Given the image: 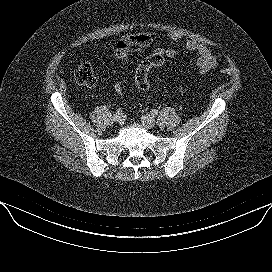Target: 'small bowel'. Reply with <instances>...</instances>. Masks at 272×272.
Wrapping results in <instances>:
<instances>
[{
  "instance_id": "obj_1",
  "label": "small bowel",
  "mask_w": 272,
  "mask_h": 272,
  "mask_svg": "<svg viewBox=\"0 0 272 272\" xmlns=\"http://www.w3.org/2000/svg\"><path fill=\"white\" fill-rule=\"evenodd\" d=\"M179 34H171L169 41L172 43L180 40ZM134 46L133 35H127L118 40L114 45V51H123L127 53ZM183 46L189 51L197 53L196 66L201 74H205L218 65L217 57L212 53L207 45L195 39L187 38L183 41ZM154 54L163 55L165 58H173L176 54L174 47L157 46L153 49Z\"/></svg>"
}]
</instances>
